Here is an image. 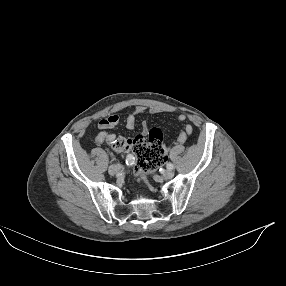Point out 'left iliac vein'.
I'll return each instance as SVG.
<instances>
[{
  "mask_svg": "<svg viewBox=\"0 0 286 286\" xmlns=\"http://www.w3.org/2000/svg\"><path fill=\"white\" fill-rule=\"evenodd\" d=\"M174 176V173L171 170H165L163 172V177L165 179H171Z\"/></svg>",
  "mask_w": 286,
  "mask_h": 286,
  "instance_id": "4c4485c4",
  "label": "left iliac vein"
}]
</instances>
